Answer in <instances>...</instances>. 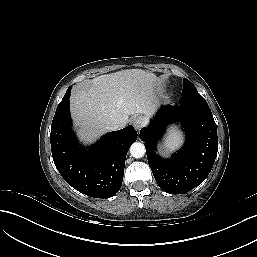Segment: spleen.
Wrapping results in <instances>:
<instances>
[{
  "instance_id": "obj_1",
  "label": "spleen",
  "mask_w": 257,
  "mask_h": 257,
  "mask_svg": "<svg viewBox=\"0 0 257 257\" xmlns=\"http://www.w3.org/2000/svg\"><path fill=\"white\" fill-rule=\"evenodd\" d=\"M180 142V139H179V135H177L176 133L174 135H172L170 138H169V142H168V146L170 148H173L174 146H177Z\"/></svg>"
}]
</instances>
